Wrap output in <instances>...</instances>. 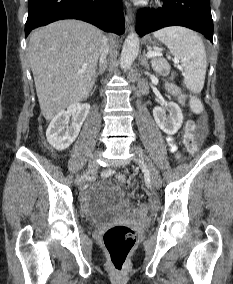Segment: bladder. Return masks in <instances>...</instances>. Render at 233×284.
<instances>
[{
  "label": "bladder",
  "instance_id": "obj_1",
  "mask_svg": "<svg viewBox=\"0 0 233 284\" xmlns=\"http://www.w3.org/2000/svg\"><path fill=\"white\" fill-rule=\"evenodd\" d=\"M123 194V190L115 184L99 183L87 192L86 200L88 203L105 207L118 202L122 198Z\"/></svg>",
  "mask_w": 233,
  "mask_h": 284
}]
</instances>
